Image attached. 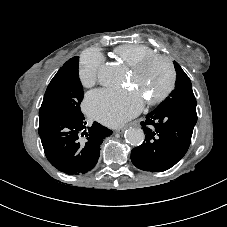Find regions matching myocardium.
Segmentation results:
<instances>
[{"label": "myocardium", "instance_id": "obj_1", "mask_svg": "<svg viewBox=\"0 0 227 227\" xmlns=\"http://www.w3.org/2000/svg\"><path fill=\"white\" fill-rule=\"evenodd\" d=\"M156 61H162L167 66L168 72H169V81H168L166 88L160 94H158L156 97H154L152 99H149L148 103L151 105L158 104V103L162 102L163 100H165L169 96V94L172 92V90L174 89L175 82H176V71H175V67H174L171 59L164 55L155 54L153 56L146 57V58L142 59L141 61H139L138 63L131 66L132 72L135 75H140L152 63H154Z\"/></svg>", "mask_w": 227, "mask_h": 227}]
</instances>
